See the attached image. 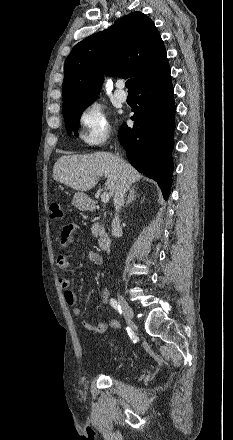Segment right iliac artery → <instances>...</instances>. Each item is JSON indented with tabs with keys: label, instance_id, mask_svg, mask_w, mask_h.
Masks as SVG:
<instances>
[{
	"label": "right iliac artery",
	"instance_id": "right-iliac-artery-1",
	"mask_svg": "<svg viewBox=\"0 0 233 440\" xmlns=\"http://www.w3.org/2000/svg\"><path fill=\"white\" fill-rule=\"evenodd\" d=\"M110 304H111V306H112L115 310H117L120 314L122 313L121 306H120V304H119L115 299L111 298V299H110Z\"/></svg>",
	"mask_w": 233,
	"mask_h": 440
}]
</instances>
